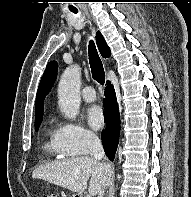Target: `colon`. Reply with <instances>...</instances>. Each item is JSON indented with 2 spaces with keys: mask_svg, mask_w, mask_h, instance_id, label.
Returning <instances> with one entry per match:
<instances>
[{
  "mask_svg": "<svg viewBox=\"0 0 191 197\" xmlns=\"http://www.w3.org/2000/svg\"><path fill=\"white\" fill-rule=\"evenodd\" d=\"M45 197H55V196H53V195H46Z\"/></svg>",
  "mask_w": 191,
  "mask_h": 197,
  "instance_id": "obj_1",
  "label": "colon"
}]
</instances>
